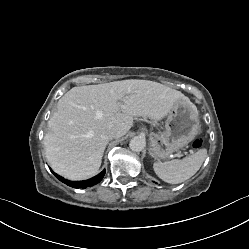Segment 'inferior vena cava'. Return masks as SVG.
<instances>
[{
  "label": "inferior vena cava",
  "instance_id": "obj_1",
  "mask_svg": "<svg viewBox=\"0 0 249 249\" xmlns=\"http://www.w3.org/2000/svg\"><path fill=\"white\" fill-rule=\"evenodd\" d=\"M102 137L104 139H106V140H111V139H114V138H119L120 134L115 129L108 128V129L103 131Z\"/></svg>",
  "mask_w": 249,
  "mask_h": 249
}]
</instances>
